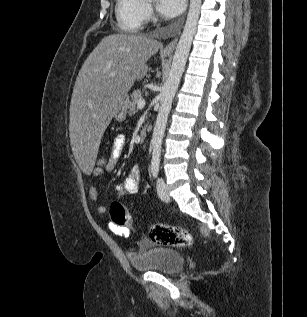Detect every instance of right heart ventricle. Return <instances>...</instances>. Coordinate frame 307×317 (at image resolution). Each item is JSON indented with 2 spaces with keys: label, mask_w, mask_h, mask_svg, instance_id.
<instances>
[{
  "label": "right heart ventricle",
  "mask_w": 307,
  "mask_h": 317,
  "mask_svg": "<svg viewBox=\"0 0 307 317\" xmlns=\"http://www.w3.org/2000/svg\"><path fill=\"white\" fill-rule=\"evenodd\" d=\"M145 0H116L115 15L121 30L130 33L139 32L144 24Z\"/></svg>",
  "instance_id": "e07e8e85"
}]
</instances>
